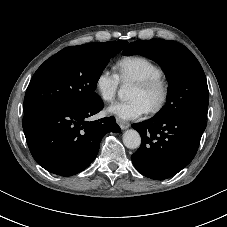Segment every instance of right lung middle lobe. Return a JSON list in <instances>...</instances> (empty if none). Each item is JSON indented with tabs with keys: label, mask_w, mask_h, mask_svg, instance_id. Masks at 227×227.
<instances>
[{
	"label": "right lung middle lobe",
	"mask_w": 227,
	"mask_h": 227,
	"mask_svg": "<svg viewBox=\"0 0 227 227\" xmlns=\"http://www.w3.org/2000/svg\"><path fill=\"white\" fill-rule=\"evenodd\" d=\"M123 49V41L70 46L47 59L26 90L24 113L49 105H85L99 98L97 82L108 64Z\"/></svg>",
	"instance_id": "dd1d6c3e"
}]
</instances>
